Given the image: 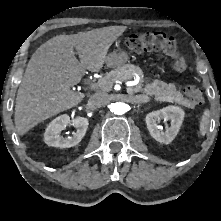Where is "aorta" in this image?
<instances>
[{"label":"aorta","mask_w":221,"mask_h":221,"mask_svg":"<svg viewBox=\"0 0 221 221\" xmlns=\"http://www.w3.org/2000/svg\"><path fill=\"white\" fill-rule=\"evenodd\" d=\"M128 111V106L127 104L123 102H116L113 106V112L116 115H123Z\"/></svg>","instance_id":"aorta-1"}]
</instances>
